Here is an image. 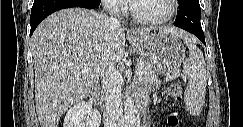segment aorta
<instances>
[{
    "label": "aorta",
    "instance_id": "1",
    "mask_svg": "<svg viewBox=\"0 0 243 127\" xmlns=\"http://www.w3.org/2000/svg\"><path fill=\"white\" fill-rule=\"evenodd\" d=\"M124 124L125 127H135L136 125L134 103L130 97H127L124 102Z\"/></svg>",
    "mask_w": 243,
    "mask_h": 127
}]
</instances>
